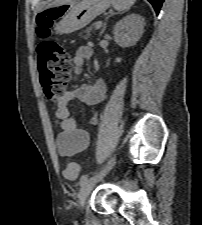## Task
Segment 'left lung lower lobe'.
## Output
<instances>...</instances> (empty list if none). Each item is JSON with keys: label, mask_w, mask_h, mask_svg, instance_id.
I'll return each instance as SVG.
<instances>
[{"label": "left lung lower lobe", "mask_w": 202, "mask_h": 225, "mask_svg": "<svg viewBox=\"0 0 202 225\" xmlns=\"http://www.w3.org/2000/svg\"><path fill=\"white\" fill-rule=\"evenodd\" d=\"M148 1L153 5L156 13L158 14L164 0H148Z\"/></svg>", "instance_id": "left-lung-lower-lobe-1"}]
</instances>
